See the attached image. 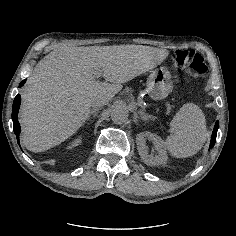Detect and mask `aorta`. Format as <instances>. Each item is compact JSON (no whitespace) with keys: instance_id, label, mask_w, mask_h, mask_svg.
Here are the masks:
<instances>
[{"instance_id":"762f6f07","label":"aorta","mask_w":236,"mask_h":236,"mask_svg":"<svg viewBox=\"0 0 236 236\" xmlns=\"http://www.w3.org/2000/svg\"><path fill=\"white\" fill-rule=\"evenodd\" d=\"M129 112L126 108L117 106L111 112L112 121L115 124H123L128 120Z\"/></svg>"}]
</instances>
